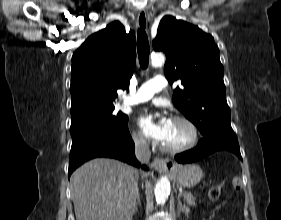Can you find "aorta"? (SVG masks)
Listing matches in <instances>:
<instances>
[{"label":"aorta","instance_id":"762f6f07","mask_svg":"<svg viewBox=\"0 0 281 220\" xmlns=\"http://www.w3.org/2000/svg\"><path fill=\"white\" fill-rule=\"evenodd\" d=\"M165 61V58L162 54L157 53L151 56V65L153 67L161 66ZM155 198L157 203L164 204L170 194V182L168 177H162L155 185L154 189Z\"/></svg>","mask_w":281,"mask_h":220}]
</instances>
